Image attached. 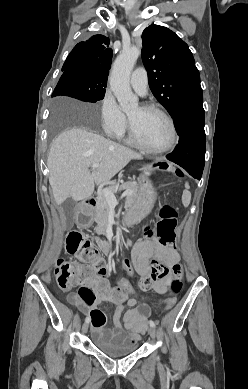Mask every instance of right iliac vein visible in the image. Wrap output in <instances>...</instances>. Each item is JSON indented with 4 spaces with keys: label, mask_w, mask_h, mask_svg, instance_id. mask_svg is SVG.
I'll list each match as a JSON object with an SVG mask.
<instances>
[{
    "label": "right iliac vein",
    "mask_w": 248,
    "mask_h": 389,
    "mask_svg": "<svg viewBox=\"0 0 248 389\" xmlns=\"http://www.w3.org/2000/svg\"><path fill=\"white\" fill-rule=\"evenodd\" d=\"M88 326H89V325H88L87 322L83 324V326H82V331H83V333H86V332H87Z\"/></svg>",
    "instance_id": "63e3f726"
}]
</instances>
